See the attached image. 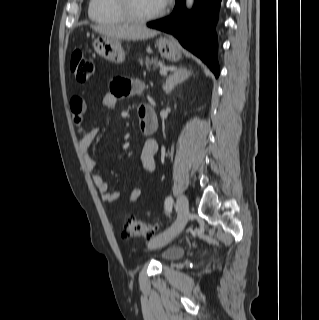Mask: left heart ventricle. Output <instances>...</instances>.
<instances>
[{
	"instance_id": "1",
	"label": "left heart ventricle",
	"mask_w": 319,
	"mask_h": 320,
	"mask_svg": "<svg viewBox=\"0 0 319 320\" xmlns=\"http://www.w3.org/2000/svg\"><path fill=\"white\" fill-rule=\"evenodd\" d=\"M134 10L139 15H150L160 10L157 0H132Z\"/></svg>"
}]
</instances>
